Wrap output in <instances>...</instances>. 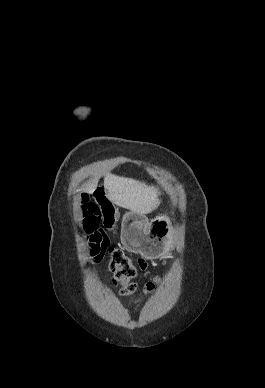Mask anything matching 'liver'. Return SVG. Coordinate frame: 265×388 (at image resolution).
I'll list each match as a JSON object with an SVG mask.
<instances>
[{
    "label": "liver",
    "mask_w": 265,
    "mask_h": 388,
    "mask_svg": "<svg viewBox=\"0 0 265 388\" xmlns=\"http://www.w3.org/2000/svg\"><path fill=\"white\" fill-rule=\"evenodd\" d=\"M97 186L98 180H94L92 184H86L84 190L89 192V190H95ZM104 188L106 196L112 204L126 208L134 214H150L160 204L158 190L145 186L143 182H137L132 178H120V176L106 174Z\"/></svg>",
    "instance_id": "liver-1"
}]
</instances>
